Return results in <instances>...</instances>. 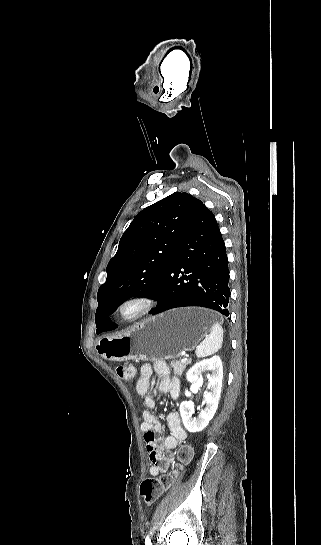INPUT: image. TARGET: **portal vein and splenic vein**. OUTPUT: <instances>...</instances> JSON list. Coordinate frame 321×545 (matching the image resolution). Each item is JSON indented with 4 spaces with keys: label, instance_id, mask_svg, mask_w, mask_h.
<instances>
[{
    "label": "portal vein and splenic vein",
    "instance_id": "obj_1",
    "mask_svg": "<svg viewBox=\"0 0 321 545\" xmlns=\"http://www.w3.org/2000/svg\"><path fill=\"white\" fill-rule=\"evenodd\" d=\"M186 354V358H189V353H185ZM186 358H181V361H186Z\"/></svg>",
    "mask_w": 321,
    "mask_h": 545
}]
</instances>
